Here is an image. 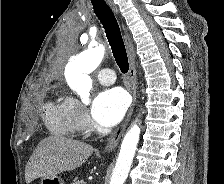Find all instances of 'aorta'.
<instances>
[{"mask_svg": "<svg viewBox=\"0 0 224 184\" xmlns=\"http://www.w3.org/2000/svg\"><path fill=\"white\" fill-rule=\"evenodd\" d=\"M104 54L105 47L103 45L91 42L87 50L80 53L66 65L65 78L67 84L80 96L84 104L90 103L92 80L89 74L99 66ZM139 136L140 127L134 123L122 141L110 184H124L130 171Z\"/></svg>", "mask_w": 224, "mask_h": 184, "instance_id": "aorta-1", "label": "aorta"}]
</instances>
